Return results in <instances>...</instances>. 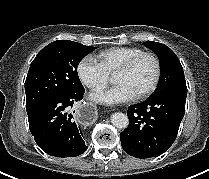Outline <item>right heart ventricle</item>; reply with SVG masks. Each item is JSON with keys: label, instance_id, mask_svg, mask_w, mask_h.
Listing matches in <instances>:
<instances>
[{"label": "right heart ventricle", "instance_id": "obj_1", "mask_svg": "<svg viewBox=\"0 0 209 179\" xmlns=\"http://www.w3.org/2000/svg\"><path fill=\"white\" fill-rule=\"evenodd\" d=\"M141 52L143 50L139 47H112L98 53L96 60L108 75H113L124 63Z\"/></svg>", "mask_w": 209, "mask_h": 179}]
</instances>
